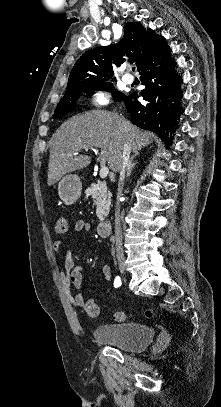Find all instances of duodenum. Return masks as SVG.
I'll return each instance as SVG.
<instances>
[{
	"mask_svg": "<svg viewBox=\"0 0 221 407\" xmlns=\"http://www.w3.org/2000/svg\"><path fill=\"white\" fill-rule=\"evenodd\" d=\"M112 227V223L109 220H105L99 223L98 225V234L100 236H107Z\"/></svg>",
	"mask_w": 221,
	"mask_h": 407,
	"instance_id": "1",
	"label": "duodenum"
}]
</instances>
